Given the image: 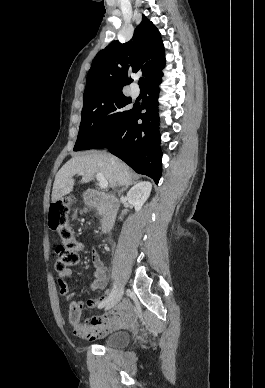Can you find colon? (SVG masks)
I'll use <instances>...</instances> for the list:
<instances>
[{
  "instance_id": "obj_1",
  "label": "colon",
  "mask_w": 265,
  "mask_h": 388,
  "mask_svg": "<svg viewBox=\"0 0 265 388\" xmlns=\"http://www.w3.org/2000/svg\"><path fill=\"white\" fill-rule=\"evenodd\" d=\"M69 205V199H60L51 205L49 211V226L60 239L54 251L55 269L59 272L77 264L81 250V244L68 223Z\"/></svg>"
}]
</instances>
